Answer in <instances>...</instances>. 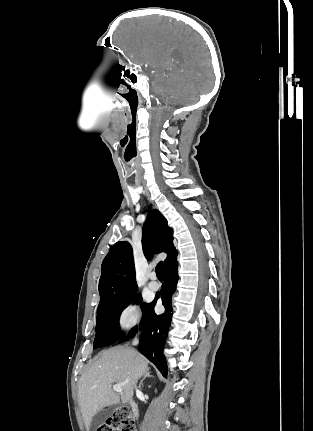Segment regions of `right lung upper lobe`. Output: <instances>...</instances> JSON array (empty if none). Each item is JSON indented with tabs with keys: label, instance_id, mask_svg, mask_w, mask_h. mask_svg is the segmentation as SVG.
I'll return each mask as SVG.
<instances>
[{
	"label": "right lung upper lobe",
	"instance_id": "right-lung-upper-lobe-1",
	"mask_svg": "<svg viewBox=\"0 0 313 431\" xmlns=\"http://www.w3.org/2000/svg\"><path fill=\"white\" fill-rule=\"evenodd\" d=\"M142 247L147 259L154 253L168 254L165 267L177 254L173 229L158 210H151L143 226ZM137 290L132 247L128 241L117 242L102 262L99 281L100 302L125 296Z\"/></svg>",
	"mask_w": 313,
	"mask_h": 431
}]
</instances>
